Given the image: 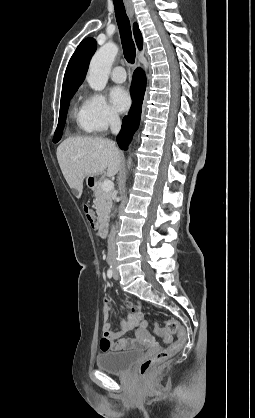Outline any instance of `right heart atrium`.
<instances>
[{
    "label": "right heart atrium",
    "instance_id": "1",
    "mask_svg": "<svg viewBox=\"0 0 255 418\" xmlns=\"http://www.w3.org/2000/svg\"><path fill=\"white\" fill-rule=\"evenodd\" d=\"M84 124L89 131L102 132L119 120L116 111L101 93H89L83 105Z\"/></svg>",
    "mask_w": 255,
    "mask_h": 418
}]
</instances>
